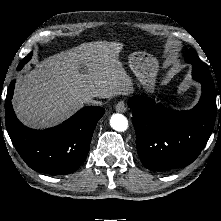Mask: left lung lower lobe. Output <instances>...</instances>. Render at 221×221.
Here are the masks:
<instances>
[{"instance_id":"1","label":"left lung lower lobe","mask_w":221,"mask_h":221,"mask_svg":"<svg viewBox=\"0 0 221 221\" xmlns=\"http://www.w3.org/2000/svg\"><path fill=\"white\" fill-rule=\"evenodd\" d=\"M193 79L202 85L198 104L188 111H172L151 98L128 101L136 131L137 152L152 171H168L191 164L206 145L216 118L215 86L204 65L193 64Z\"/></svg>"}]
</instances>
